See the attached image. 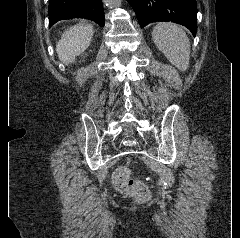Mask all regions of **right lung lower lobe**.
Listing matches in <instances>:
<instances>
[{
	"label": "right lung lower lobe",
	"instance_id": "obj_1",
	"mask_svg": "<svg viewBox=\"0 0 240 238\" xmlns=\"http://www.w3.org/2000/svg\"><path fill=\"white\" fill-rule=\"evenodd\" d=\"M49 26L63 19L85 18L103 26L104 10L101 0H49Z\"/></svg>",
	"mask_w": 240,
	"mask_h": 238
}]
</instances>
